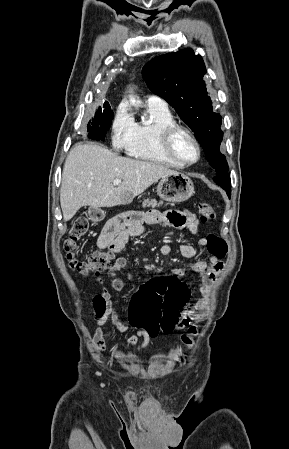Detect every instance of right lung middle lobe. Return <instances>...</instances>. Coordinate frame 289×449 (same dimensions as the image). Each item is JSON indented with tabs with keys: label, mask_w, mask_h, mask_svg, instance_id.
Returning <instances> with one entry per match:
<instances>
[{
	"label": "right lung middle lobe",
	"mask_w": 289,
	"mask_h": 449,
	"mask_svg": "<svg viewBox=\"0 0 289 449\" xmlns=\"http://www.w3.org/2000/svg\"><path fill=\"white\" fill-rule=\"evenodd\" d=\"M113 111L108 102L104 104V110L101 107L97 110L91 125L88 128V137L93 140H104L106 131L109 130L113 119Z\"/></svg>",
	"instance_id": "obj_1"
}]
</instances>
